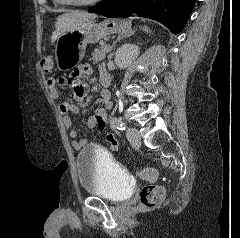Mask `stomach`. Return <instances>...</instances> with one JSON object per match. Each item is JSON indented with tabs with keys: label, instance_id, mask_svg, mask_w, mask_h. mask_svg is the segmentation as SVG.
Returning <instances> with one entry per match:
<instances>
[{
	"label": "stomach",
	"instance_id": "stomach-1",
	"mask_svg": "<svg viewBox=\"0 0 240 238\" xmlns=\"http://www.w3.org/2000/svg\"><path fill=\"white\" fill-rule=\"evenodd\" d=\"M131 24L121 19H106L101 23L89 21L81 27L64 32L57 38L55 57L60 71L75 67L84 57L86 45L104 37L129 31Z\"/></svg>",
	"mask_w": 240,
	"mask_h": 238
}]
</instances>
